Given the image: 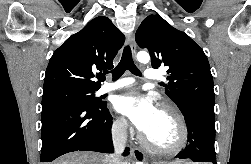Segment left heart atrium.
Here are the masks:
<instances>
[{"label":"left heart atrium","instance_id":"39dd6f15","mask_svg":"<svg viewBox=\"0 0 251 164\" xmlns=\"http://www.w3.org/2000/svg\"><path fill=\"white\" fill-rule=\"evenodd\" d=\"M114 107L144 134L151 130L159 114L151 99L136 90L119 95L115 99Z\"/></svg>","mask_w":251,"mask_h":164}]
</instances>
